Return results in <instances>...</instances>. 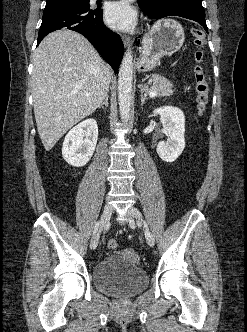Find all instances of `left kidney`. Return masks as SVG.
Returning <instances> with one entry per match:
<instances>
[{
	"label": "left kidney",
	"mask_w": 247,
	"mask_h": 332,
	"mask_svg": "<svg viewBox=\"0 0 247 332\" xmlns=\"http://www.w3.org/2000/svg\"><path fill=\"white\" fill-rule=\"evenodd\" d=\"M159 114L161 123L168 136L167 141L157 144V154L165 162H174L185 148V116L183 112L172 106H163L153 111Z\"/></svg>",
	"instance_id": "left-kidney-1"
}]
</instances>
